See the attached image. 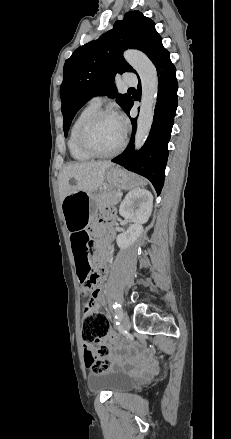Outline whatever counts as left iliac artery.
<instances>
[{"label":"left iliac artery","mask_w":231,"mask_h":439,"mask_svg":"<svg viewBox=\"0 0 231 439\" xmlns=\"http://www.w3.org/2000/svg\"><path fill=\"white\" fill-rule=\"evenodd\" d=\"M113 308L115 310L116 325L119 326L120 325L119 321L121 319V315H120L121 306L117 302H113Z\"/></svg>","instance_id":"1"}]
</instances>
